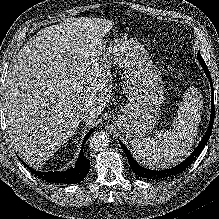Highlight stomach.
<instances>
[{
	"mask_svg": "<svg viewBox=\"0 0 219 219\" xmlns=\"http://www.w3.org/2000/svg\"><path fill=\"white\" fill-rule=\"evenodd\" d=\"M105 57L123 68L126 105L114 117L120 133L128 139H140L152 132L164 100V85L157 67L144 46L132 38L109 42Z\"/></svg>",
	"mask_w": 219,
	"mask_h": 219,
	"instance_id": "1",
	"label": "stomach"
}]
</instances>
